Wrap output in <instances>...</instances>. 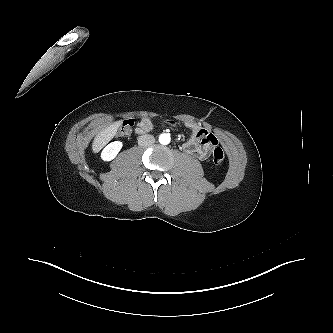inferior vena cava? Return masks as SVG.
<instances>
[{
	"mask_svg": "<svg viewBox=\"0 0 333 333\" xmlns=\"http://www.w3.org/2000/svg\"><path fill=\"white\" fill-rule=\"evenodd\" d=\"M155 138L152 135L145 134L138 138V145L140 147H148L154 144Z\"/></svg>",
	"mask_w": 333,
	"mask_h": 333,
	"instance_id": "1",
	"label": "inferior vena cava"
}]
</instances>
